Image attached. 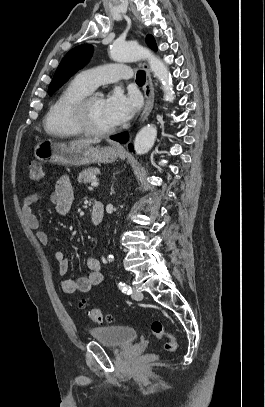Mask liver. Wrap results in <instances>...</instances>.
<instances>
[{
    "instance_id": "1",
    "label": "liver",
    "mask_w": 265,
    "mask_h": 407,
    "mask_svg": "<svg viewBox=\"0 0 265 407\" xmlns=\"http://www.w3.org/2000/svg\"><path fill=\"white\" fill-rule=\"evenodd\" d=\"M99 142H100V140H98V139H81V140L73 141L71 143L78 144V145H91V144H96Z\"/></svg>"
}]
</instances>
